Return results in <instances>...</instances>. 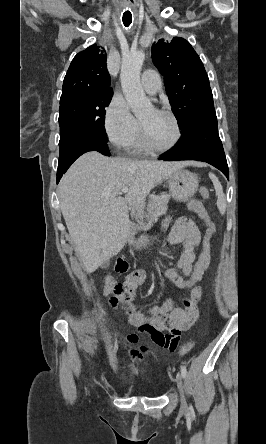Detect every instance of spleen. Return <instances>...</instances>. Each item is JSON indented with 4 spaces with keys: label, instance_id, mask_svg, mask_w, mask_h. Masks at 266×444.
<instances>
[{
    "label": "spleen",
    "instance_id": "1",
    "mask_svg": "<svg viewBox=\"0 0 266 444\" xmlns=\"http://www.w3.org/2000/svg\"><path fill=\"white\" fill-rule=\"evenodd\" d=\"M209 177L212 180L213 185L215 187L216 196H217V207H218L220 213L224 214L225 210H226V199H225V195L223 193L222 185H221L220 181L218 180V178L213 173H209Z\"/></svg>",
    "mask_w": 266,
    "mask_h": 444
}]
</instances>
